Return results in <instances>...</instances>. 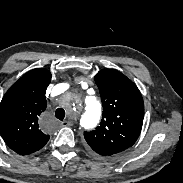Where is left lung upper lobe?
Masks as SVG:
<instances>
[{
    "instance_id": "left-lung-upper-lobe-1",
    "label": "left lung upper lobe",
    "mask_w": 183,
    "mask_h": 183,
    "mask_svg": "<svg viewBox=\"0 0 183 183\" xmlns=\"http://www.w3.org/2000/svg\"><path fill=\"white\" fill-rule=\"evenodd\" d=\"M103 105L100 126L84 132L90 148L112 156L131 147L140 135L144 103L137 86L115 69H103L95 77Z\"/></svg>"
}]
</instances>
